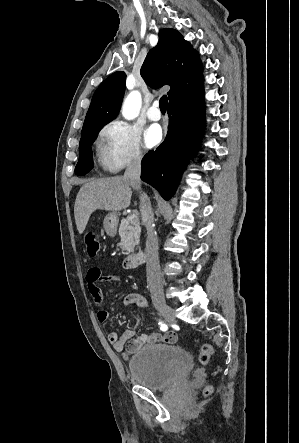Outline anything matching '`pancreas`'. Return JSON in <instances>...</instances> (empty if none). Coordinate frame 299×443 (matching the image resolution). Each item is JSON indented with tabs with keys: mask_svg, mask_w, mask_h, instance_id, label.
Returning a JSON list of instances; mask_svg holds the SVG:
<instances>
[{
	"mask_svg": "<svg viewBox=\"0 0 299 443\" xmlns=\"http://www.w3.org/2000/svg\"><path fill=\"white\" fill-rule=\"evenodd\" d=\"M141 228L139 220L136 218L130 221L128 218L121 221L119 227V236L121 237V248L124 254L134 251V247L139 243Z\"/></svg>",
	"mask_w": 299,
	"mask_h": 443,
	"instance_id": "1",
	"label": "pancreas"
}]
</instances>
